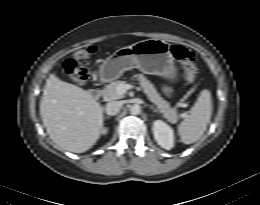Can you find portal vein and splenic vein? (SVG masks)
Wrapping results in <instances>:
<instances>
[{"label": "portal vein and splenic vein", "instance_id": "18ae733b", "mask_svg": "<svg viewBox=\"0 0 260 205\" xmlns=\"http://www.w3.org/2000/svg\"><path fill=\"white\" fill-rule=\"evenodd\" d=\"M132 88H133V86L130 84H122L117 87V92H118V94L123 95L126 93L127 90L132 89ZM181 116L185 117L186 115L181 114Z\"/></svg>", "mask_w": 260, "mask_h": 205}]
</instances>
